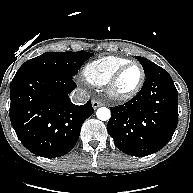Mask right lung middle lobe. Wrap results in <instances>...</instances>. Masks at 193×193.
<instances>
[{
    "instance_id": "obj_1",
    "label": "right lung middle lobe",
    "mask_w": 193,
    "mask_h": 193,
    "mask_svg": "<svg viewBox=\"0 0 193 193\" xmlns=\"http://www.w3.org/2000/svg\"><path fill=\"white\" fill-rule=\"evenodd\" d=\"M92 55L89 52H46L26 61L16 75L29 72H50L73 78L81 65Z\"/></svg>"
}]
</instances>
